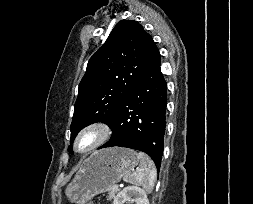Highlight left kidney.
Segmentation results:
<instances>
[{"mask_svg": "<svg viewBox=\"0 0 253 204\" xmlns=\"http://www.w3.org/2000/svg\"><path fill=\"white\" fill-rule=\"evenodd\" d=\"M126 201L135 204H149L146 191L137 186L125 187L114 198L113 204H124Z\"/></svg>", "mask_w": 253, "mask_h": 204, "instance_id": "left-kidney-1", "label": "left kidney"}]
</instances>
